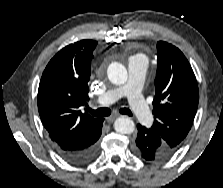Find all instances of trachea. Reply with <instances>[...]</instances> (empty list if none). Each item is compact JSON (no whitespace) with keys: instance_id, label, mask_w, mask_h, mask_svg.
<instances>
[{"instance_id":"obj_1","label":"trachea","mask_w":223,"mask_h":188,"mask_svg":"<svg viewBox=\"0 0 223 188\" xmlns=\"http://www.w3.org/2000/svg\"><path fill=\"white\" fill-rule=\"evenodd\" d=\"M88 110L90 111L91 114L98 117H106L111 114V110L109 108H99L97 110H92L89 108ZM119 112L121 114L132 116V112L128 108H121Z\"/></svg>"}]
</instances>
